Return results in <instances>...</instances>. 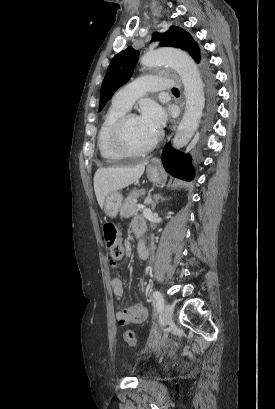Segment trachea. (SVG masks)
I'll return each instance as SVG.
<instances>
[{"label": "trachea", "instance_id": "1", "mask_svg": "<svg viewBox=\"0 0 275 409\" xmlns=\"http://www.w3.org/2000/svg\"><path fill=\"white\" fill-rule=\"evenodd\" d=\"M172 92H179L178 88H172Z\"/></svg>", "mask_w": 275, "mask_h": 409}]
</instances>
